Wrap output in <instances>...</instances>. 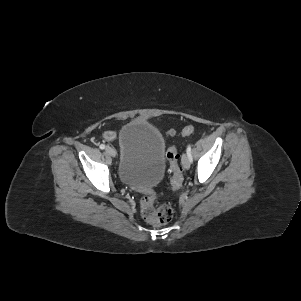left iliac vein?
<instances>
[{
    "label": "left iliac vein",
    "mask_w": 301,
    "mask_h": 301,
    "mask_svg": "<svg viewBox=\"0 0 301 301\" xmlns=\"http://www.w3.org/2000/svg\"><path fill=\"white\" fill-rule=\"evenodd\" d=\"M182 165L184 169L188 170L190 168V160L187 156V154H183L182 156Z\"/></svg>",
    "instance_id": "1"
}]
</instances>
